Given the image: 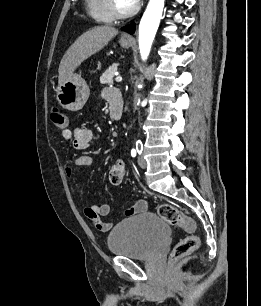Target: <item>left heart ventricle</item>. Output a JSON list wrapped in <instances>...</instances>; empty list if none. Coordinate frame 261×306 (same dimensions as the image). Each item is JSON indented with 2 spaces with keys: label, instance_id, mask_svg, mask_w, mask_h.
<instances>
[{
  "label": "left heart ventricle",
  "instance_id": "b2bd125f",
  "mask_svg": "<svg viewBox=\"0 0 261 306\" xmlns=\"http://www.w3.org/2000/svg\"><path fill=\"white\" fill-rule=\"evenodd\" d=\"M116 5L120 10H128L134 6L130 0H115Z\"/></svg>",
  "mask_w": 261,
  "mask_h": 306
}]
</instances>
